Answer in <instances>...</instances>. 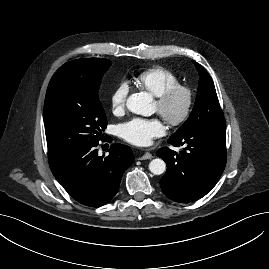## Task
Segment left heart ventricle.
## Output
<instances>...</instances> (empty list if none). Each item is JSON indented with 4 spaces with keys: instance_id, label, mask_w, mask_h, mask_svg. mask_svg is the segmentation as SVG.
<instances>
[{
    "instance_id": "1",
    "label": "left heart ventricle",
    "mask_w": 269,
    "mask_h": 269,
    "mask_svg": "<svg viewBox=\"0 0 269 269\" xmlns=\"http://www.w3.org/2000/svg\"><path fill=\"white\" fill-rule=\"evenodd\" d=\"M183 105L184 96L182 94H178L170 102L169 106L167 107V111L172 115L178 114L181 111ZM154 110L159 112V106L156 102L154 103Z\"/></svg>"
}]
</instances>
